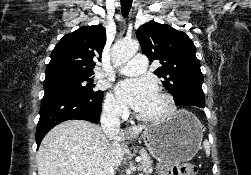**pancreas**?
I'll use <instances>...</instances> for the list:
<instances>
[{"label": "pancreas", "instance_id": "obj_1", "mask_svg": "<svg viewBox=\"0 0 251 175\" xmlns=\"http://www.w3.org/2000/svg\"><path fill=\"white\" fill-rule=\"evenodd\" d=\"M139 153H140L141 161H139V163H138V169H141V171H142V173H139V175H144V173H152L153 161H152L149 153H147V151H145V149H140Z\"/></svg>", "mask_w": 251, "mask_h": 175}]
</instances>
